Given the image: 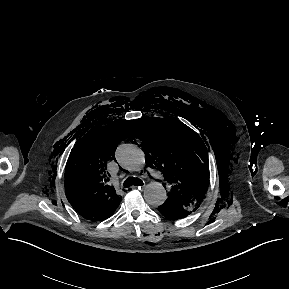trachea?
I'll list each match as a JSON object with an SVG mask.
<instances>
[{"instance_id": "trachea-1", "label": "trachea", "mask_w": 289, "mask_h": 289, "mask_svg": "<svg viewBox=\"0 0 289 289\" xmlns=\"http://www.w3.org/2000/svg\"><path fill=\"white\" fill-rule=\"evenodd\" d=\"M132 185H135V186L143 185V181L141 179H139V178L129 177L123 183V186L125 188H128V187H130Z\"/></svg>"}]
</instances>
